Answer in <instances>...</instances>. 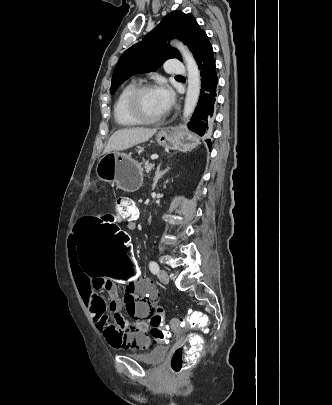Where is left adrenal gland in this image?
<instances>
[{"label": "left adrenal gland", "instance_id": "a2214340", "mask_svg": "<svg viewBox=\"0 0 332 405\" xmlns=\"http://www.w3.org/2000/svg\"><path fill=\"white\" fill-rule=\"evenodd\" d=\"M160 167L161 164L158 165L156 172H155V176H154V183L152 186V189H154L157 185V182L160 178H162V176L169 170V167L167 169H165L164 171H160Z\"/></svg>", "mask_w": 332, "mask_h": 405}]
</instances>
